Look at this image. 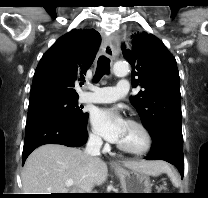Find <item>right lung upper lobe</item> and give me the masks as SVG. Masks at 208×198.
I'll return each instance as SVG.
<instances>
[{
	"label": "right lung upper lobe",
	"instance_id": "obj_1",
	"mask_svg": "<svg viewBox=\"0 0 208 198\" xmlns=\"http://www.w3.org/2000/svg\"><path fill=\"white\" fill-rule=\"evenodd\" d=\"M94 29H73L42 56L33 78L29 107L54 100L78 99L75 81L92 65L100 45Z\"/></svg>",
	"mask_w": 208,
	"mask_h": 198
}]
</instances>
